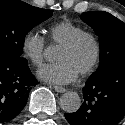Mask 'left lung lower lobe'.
<instances>
[{
	"label": "left lung lower lobe",
	"mask_w": 125,
	"mask_h": 125,
	"mask_svg": "<svg viewBox=\"0 0 125 125\" xmlns=\"http://www.w3.org/2000/svg\"><path fill=\"white\" fill-rule=\"evenodd\" d=\"M83 96L75 113H65L71 125H117L125 116V66L89 78Z\"/></svg>",
	"instance_id": "0a47b994"
}]
</instances>
